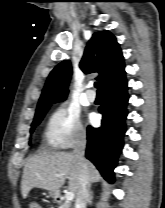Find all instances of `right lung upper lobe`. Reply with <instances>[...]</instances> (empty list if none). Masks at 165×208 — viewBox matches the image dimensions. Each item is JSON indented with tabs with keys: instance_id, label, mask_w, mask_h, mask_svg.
I'll return each instance as SVG.
<instances>
[{
	"instance_id": "obj_1",
	"label": "right lung upper lobe",
	"mask_w": 165,
	"mask_h": 208,
	"mask_svg": "<svg viewBox=\"0 0 165 208\" xmlns=\"http://www.w3.org/2000/svg\"><path fill=\"white\" fill-rule=\"evenodd\" d=\"M79 66L86 74L98 72L97 80L102 88L125 73L121 49L116 38L109 31L93 34L85 48ZM71 75L72 67L69 60L62 61L51 71L36 112L66 99Z\"/></svg>"
}]
</instances>
